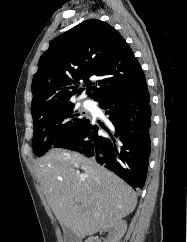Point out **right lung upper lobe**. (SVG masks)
<instances>
[{"label": "right lung upper lobe", "mask_w": 187, "mask_h": 242, "mask_svg": "<svg viewBox=\"0 0 187 242\" xmlns=\"http://www.w3.org/2000/svg\"><path fill=\"white\" fill-rule=\"evenodd\" d=\"M143 80L142 68L119 32L103 21L86 20L54 38L40 57L32 81V117L71 103L84 90L98 101Z\"/></svg>", "instance_id": "cb5924a9"}]
</instances>
